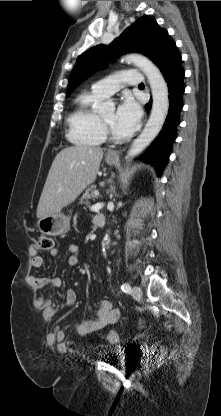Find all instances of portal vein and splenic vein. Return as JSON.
<instances>
[{
	"label": "portal vein and splenic vein",
	"mask_w": 221,
	"mask_h": 416,
	"mask_svg": "<svg viewBox=\"0 0 221 416\" xmlns=\"http://www.w3.org/2000/svg\"><path fill=\"white\" fill-rule=\"evenodd\" d=\"M96 193H98V192H96ZM102 207H103V203L99 202V203H96L95 205H92L90 209L93 210V211L94 210L96 211V210L101 209Z\"/></svg>",
	"instance_id": "portal-vein-and-splenic-vein-1"
}]
</instances>
